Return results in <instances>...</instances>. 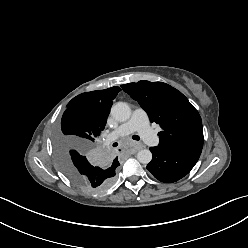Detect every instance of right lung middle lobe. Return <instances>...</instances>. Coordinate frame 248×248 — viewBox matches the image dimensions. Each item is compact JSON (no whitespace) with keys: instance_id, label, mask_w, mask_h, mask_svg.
<instances>
[{"instance_id":"right-lung-middle-lobe-1","label":"right lung middle lobe","mask_w":248,"mask_h":248,"mask_svg":"<svg viewBox=\"0 0 248 248\" xmlns=\"http://www.w3.org/2000/svg\"><path fill=\"white\" fill-rule=\"evenodd\" d=\"M100 131L82 107L67 108L62 116L61 128L56 132L55 145L60 166L65 175L74 183L89 191H100L108 188L116 175L113 167L106 159L95 157L91 150ZM77 149L84 158L76 165L70 153ZM76 151V150H75Z\"/></svg>"}]
</instances>
